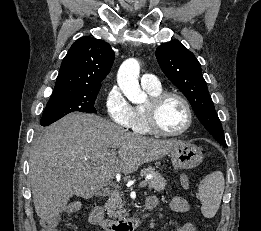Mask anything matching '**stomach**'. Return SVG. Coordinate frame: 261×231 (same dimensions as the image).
Instances as JSON below:
<instances>
[{"label": "stomach", "instance_id": "stomach-1", "mask_svg": "<svg viewBox=\"0 0 261 231\" xmlns=\"http://www.w3.org/2000/svg\"><path fill=\"white\" fill-rule=\"evenodd\" d=\"M169 157L176 169H191L197 167L202 161L200 149L190 143H183L172 148Z\"/></svg>", "mask_w": 261, "mask_h": 231}]
</instances>
